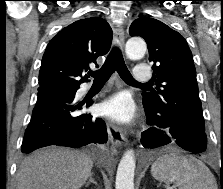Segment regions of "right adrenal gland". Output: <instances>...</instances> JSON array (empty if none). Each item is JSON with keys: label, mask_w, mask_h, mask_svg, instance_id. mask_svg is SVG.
<instances>
[{"label": "right adrenal gland", "mask_w": 223, "mask_h": 189, "mask_svg": "<svg viewBox=\"0 0 223 189\" xmlns=\"http://www.w3.org/2000/svg\"><path fill=\"white\" fill-rule=\"evenodd\" d=\"M93 173H90L89 180L86 182L85 186H88L90 183L97 185V182L93 179Z\"/></svg>", "instance_id": "1"}]
</instances>
